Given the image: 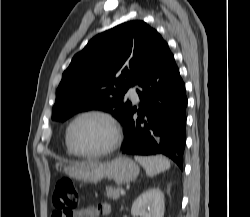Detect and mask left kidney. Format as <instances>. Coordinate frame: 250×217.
<instances>
[{
	"mask_svg": "<svg viewBox=\"0 0 250 217\" xmlns=\"http://www.w3.org/2000/svg\"><path fill=\"white\" fill-rule=\"evenodd\" d=\"M164 211V194L159 188H150L143 192L131 207L134 217H163Z\"/></svg>",
	"mask_w": 250,
	"mask_h": 217,
	"instance_id": "left-kidney-1",
	"label": "left kidney"
}]
</instances>
